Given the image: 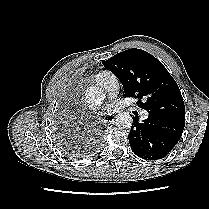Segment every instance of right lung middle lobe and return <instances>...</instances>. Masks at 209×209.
Returning <instances> with one entry per match:
<instances>
[{
  "instance_id": "obj_1",
  "label": "right lung middle lobe",
  "mask_w": 209,
  "mask_h": 209,
  "mask_svg": "<svg viewBox=\"0 0 209 209\" xmlns=\"http://www.w3.org/2000/svg\"><path fill=\"white\" fill-rule=\"evenodd\" d=\"M62 148H63L65 151H67L70 155L76 154V152L73 153V151L71 150V148H69V146H67L66 144H65V145H62Z\"/></svg>"
}]
</instances>
